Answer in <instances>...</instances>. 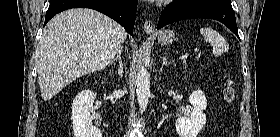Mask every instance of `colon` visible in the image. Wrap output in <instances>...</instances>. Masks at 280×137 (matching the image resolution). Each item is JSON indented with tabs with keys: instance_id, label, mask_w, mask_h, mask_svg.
<instances>
[{
	"instance_id": "1",
	"label": "colon",
	"mask_w": 280,
	"mask_h": 137,
	"mask_svg": "<svg viewBox=\"0 0 280 137\" xmlns=\"http://www.w3.org/2000/svg\"><path fill=\"white\" fill-rule=\"evenodd\" d=\"M224 96H225V100L227 102H231L232 99H233V96H234V90L232 88V86L228 83L226 88H225V91H224Z\"/></svg>"
}]
</instances>
